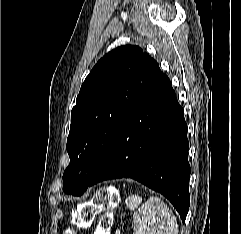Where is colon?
<instances>
[{
  "mask_svg": "<svg viewBox=\"0 0 241 234\" xmlns=\"http://www.w3.org/2000/svg\"><path fill=\"white\" fill-rule=\"evenodd\" d=\"M118 195L106 188L96 192L91 201L80 205L72 213V221L79 227H89L95 217L103 213L94 234H111L113 225L112 211L117 205ZM63 234H76L72 228H66Z\"/></svg>",
  "mask_w": 241,
  "mask_h": 234,
  "instance_id": "1",
  "label": "colon"
}]
</instances>
